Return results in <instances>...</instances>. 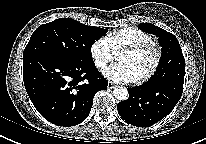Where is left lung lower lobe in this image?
Returning a JSON list of instances; mask_svg holds the SVG:
<instances>
[{
  "label": "left lung lower lobe",
  "mask_w": 206,
  "mask_h": 144,
  "mask_svg": "<svg viewBox=\"0 0 206 144\" xmlns=\"http://www.w3.org/2000/svg\"><path fill=\"white\" fill-rule=\"evenodd\" d=\"M185 68L173 69L158 82L129 88V98L117 105L118 113L129 124L150 127L167 116L183 93Z\"/></svg>",
  "instance_id": "left-lung-lower-lobe-1"
}]
</instances>
